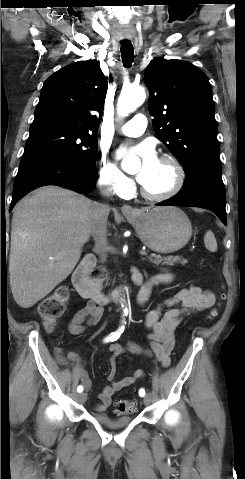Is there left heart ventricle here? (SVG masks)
<instances>
[{
  "instance_id": "1",
  "label": "left heart ventricle",
  "mask_w": 245,
  "mask_h": 479,
  "mask_svg": "<svg viewBox=\"0 0 245 479\" xmlns=\"http://www.w3.org/2000/svg\"><path fill=\"white\" fill-rule=\"evenodd\" d=\"M173 177L172 167L167 162L158 160L148 180L142 186L150 193L159 194L171 186Z\"/></svg>"
}]
</instances>
